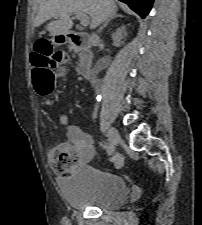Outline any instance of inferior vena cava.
I'll list each match as a JSON object with an SVG mask.
<instances>
[{
	"label": "inferior vena cava",
	"instance_id": "obj_1",
	"mask_svg": "<svg viewBox=\"0 0 202 225\" xmlns=\"http://www.w3.org/2000/svg\"><path fill=\"white\" fill-rule=\"evenodd\" d=\"M96 39H97V35L95 33H93L92 36H91V40L95 41Z\"/></svg>",
	"mask_w": 202,
	"mask_h": 225
}]
</instances>
